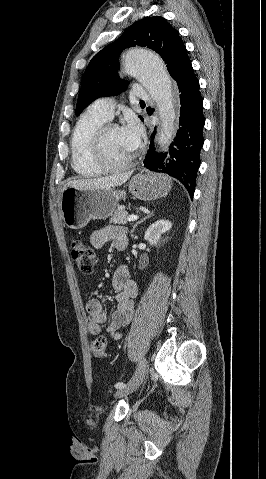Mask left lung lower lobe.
I'll list each match as a JSON object with an SVG mask.
<instances>
[{"label": "left lung lower lobe", "mask_w": 266, "mask_h": 479, "mask_svg": "<svg viewBox=\"0 0 266 479\" xmlns=\"http://www.w3.org/2000/svg\"><path fill=\"white\" fill-rule=\"evenodd\" d=\"M180 92V127L167 152L157 154L153 134L145 157L146 168L170 175L187 189L191 199L195 191L197 171L200 166V151L203 146V99L199 92L191 61H188L174 79Z\"/></svg>", "instance_id": "1"}]
</instances>
